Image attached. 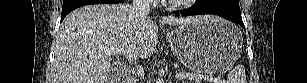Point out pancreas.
Masks as SVG:
<instances>
[{"instance_id": "pancreas-1", "label": "pancreas", "mask_w": 307, "mask_h": 83, "mask_svg": "<svg viewBox=\"0 0 307 83\" xmlns=\"http://www.w3.org/2000/svg\"><path fill=\"white\" fill-rule=\"evenodd\" d=\"M188 77L186 78L187 83H202V79L199 78L198 74H192V73H186ZM209 83H222V81H217V80H209L207 81Z\"/></svg>"}]
</instances>
